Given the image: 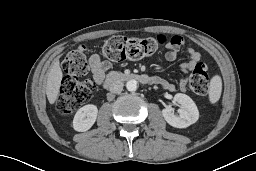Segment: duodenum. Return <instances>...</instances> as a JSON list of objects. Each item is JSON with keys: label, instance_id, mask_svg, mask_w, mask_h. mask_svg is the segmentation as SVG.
<instances>
[{"label": "duodenum", "instance_id": "1", "mask_svg": "<svg viewBox=\"0 0 256 171\" xmlns=\"http://www.w3.org/2000/svg\"><path fill=\"white\" fill-rule=\"evenodd\" d=\"M130 80H135L142 84H149L153 82L152 78L144 74L113 72L107 76L106 80L104 81V86L108 87L115 82H127Z\"/></svg>", "mask_w": 256, "mask_h": 171}]
</instances>
